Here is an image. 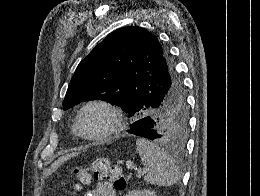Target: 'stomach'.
Segmentation results:
<instances>
[{
	"label": "stomach",
	"instance_id": "stomach-1",
	"mask_svg": "<svg viewBox=\"0 0 260 196\" xmlns=\"http://www.w3.org/2000/svg\"><path fill=\"white\" fill-rule=\"evenodd\" d=\"M60 191V188L59 187H54L53 188V191L50 192V195L51 196H56L57 195V192Z\"/></svg>",
	"mask_w": 260,
	"mask_h": 196
}]
</instances>
